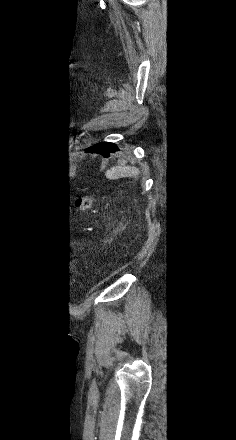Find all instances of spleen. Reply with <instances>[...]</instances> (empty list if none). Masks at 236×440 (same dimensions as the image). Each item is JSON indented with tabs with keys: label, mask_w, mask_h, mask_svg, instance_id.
Returning <instances> with one entry per match:
<instances>
[{
	"label": "spleen",
	"mask_w": 236,
	"mask_h": 440,
	"mask_svg": "<svg viewBox=\"0 0 236 440\" xmlns=\"http://www.w3.org/2000/svg\"><path fill=\"white\" fill-rule=\"evenodd\" d=\"M140 171L136 167L119 166L113 167L106 172L108 179H118L120 177H133L139 175Z\"/></svg>",
	"instance_id": "1"
}]
</instances>
